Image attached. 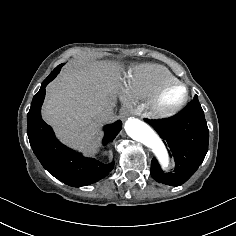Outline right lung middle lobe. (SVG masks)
<instances>
[{"label":"right lung middle lobe","instance_id":"dd1d6c3e","mask_svg":"<svg viewBox=\"0 0 236 236\" xmlns=\"http://www.w3.org/2000/svg\"><path fill=\"white\" fill-rule=\"evenodd\" d=\"M63 65H64V64L58 65V66L54 69L53 73H56V72L58 73Z\"/></svg>","mask_w":236,"mask_h":236}]
</instances>
